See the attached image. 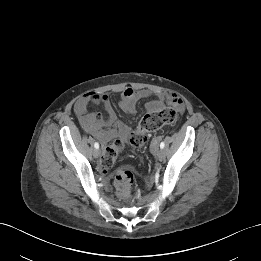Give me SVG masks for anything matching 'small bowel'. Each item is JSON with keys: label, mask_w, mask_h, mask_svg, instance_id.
Segmentation results:
<instances>
[{"label": "small bowel", "mask_w": 261, "mask_h": 261, "mask_svg": "<svg viewBox=\"0 0 261 261\" xmlns=\"http://www.w3.org/2000/svg\"><path fill=\"white\" fill-rule=\"evenodd\" d=\"M155 97L146 104V110H160L164 104H171L179 111L184 109V103L180 96L171 91L155 93L150 90H136L131 87L124 88L120 93L119 106L127 114L136 111L138 102L142 99ZM90 104L103 106L105 114L90 112ZM75 112L83 128L102 143L110 142L115 138L126 139L131 134V129L118 120L110 99L105 94L94 92L80 97L75 103Z\"/></svg>", "instance_id": "1"}]
</instances>
